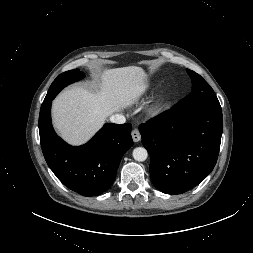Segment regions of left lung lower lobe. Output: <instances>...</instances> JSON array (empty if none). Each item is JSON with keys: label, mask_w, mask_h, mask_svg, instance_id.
Wrapping results in <instances>:
<instances>
[{"label": "left lung lower lobe", "mask_w": 253, "mask_h": 253, "mask_svg": "<svg viewBox=\"0 0 253 253\" xmlns=\"http://www.w3.org/2000/svg\"><path fill=\"white\" fill-rule=\"evenodd\" d=\"M222 130V110L212 108L173 106L141 124L154 186L166 194H181L197 186L217 162Z\"/></svg>", "instance_id": "1"}]
</instances>
